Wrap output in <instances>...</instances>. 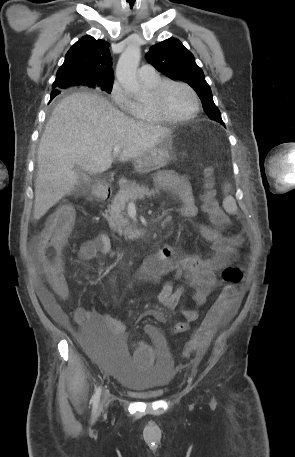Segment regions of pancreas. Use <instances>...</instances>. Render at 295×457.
<instances>
[{
  "label": "pancreas",
  "instance_id": "obj_1",
  "mask_svg": "<svg viewBox=\"0 0 295 457\" xmlns=\"http://www.w3.org/2000/svg\"><path fill=\"white\" fill-rule=\"evenodd\" d=\"M158 191L149 189L144 185H139L134 182L128 183L120 189L114 197L109 209L106 211L105 218L107 219L110 227L118 232L119 235L132 238L135 237V231L129 219L125 217L126 203L143 199L145 197L151 198Z\"/></svg>",
  "mask_w": 295,
  "mask_h": 457
}]
</instances>
